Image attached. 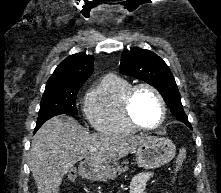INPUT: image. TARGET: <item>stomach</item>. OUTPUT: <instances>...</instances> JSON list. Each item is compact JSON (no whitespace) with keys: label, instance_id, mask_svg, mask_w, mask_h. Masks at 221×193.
Wrapping results in <instances>:
<instances>
[{"label":"stomach","instance_id":"obj_1","mask_svg":"<svg viewBox=\"0 0 221 193\" xmlns=\"http://www.w3.org/2000/svg\"><path fill=\"white\" fill-rule=\"evenodd\" d=\"M176 153V146L166 138L152 137L136 149V162L145 169H155L170 162ZM113 166H93L87 161L81 162L79 172L91 180H104L112 175Z\"/></svg>","mask_w":221,"mask_h":193}]
</instances>
